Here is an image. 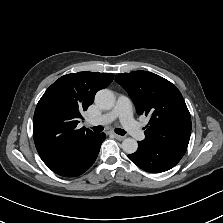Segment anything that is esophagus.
Here are the masks:
<instances>
[{"label": "esophagus", "mask_w": 223, "mask_h": 223, "mask_svg": "<svg viewBox=\"0 0 223 223\" xmlns=\"http://www.w3.org/2000/svg\"><path fill=\"white\" fill-rule=\"evenodd\" d=\"M114 137H115V139H117L119 141H122L125 138L124 136L117 135V134H115Z\"/></svg>", "instance_id": "1"}]
</instances>
